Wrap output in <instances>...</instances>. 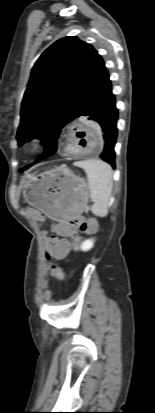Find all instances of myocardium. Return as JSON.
<instances>
[{
    "label": "myocardium",
    "mask_w": 155,
    "mask_h": 413,
    "mask_svg": "<svg viewBox=\"0 0 155 413\" xmlns=\"http://www.w3.org/2000/svg\"><path fill=\"white\" fill-rule=\"evenodd\" d=\"M35 140H30L25 144V150L31 151L35 147Z\"/></svg>",
    "instance_id": "1"
}]
</instances>
